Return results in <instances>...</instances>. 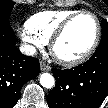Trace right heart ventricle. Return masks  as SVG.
Instances as JSON below:
<instances>
[{
    "label": "right heart ventricle",
    "mask_w": 108,
    "mask_h": 108,
    "mask_svg": "<svg viewBox=\"0 0 108 108\" xmlns=\"http://www.w3.org/2000/svg\"><path fill=\"white\" fill-rule=\"evenodd\" d=\"M78 11L75 10H46L41 11L27 20V28L31 33L48 43L57 28L69 16Z\"/></svg>",
    "instance_id": "obj_1"
}]
</instances>
